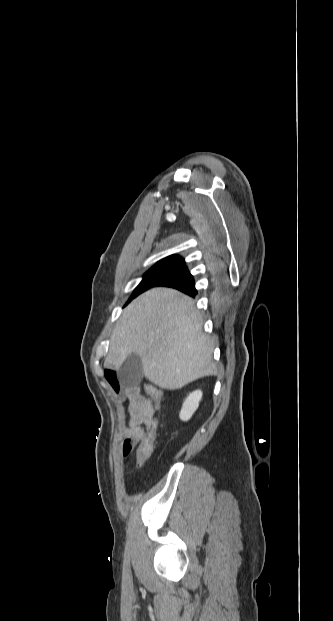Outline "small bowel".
<instances>
[{
    "instance_id": "small-bowel-1",
    "label": "small bowel",
    "mask_w": 333,
    "mask_h": 621,
    "mask_svg": "<svg viewBox=\"0 0 333 621\" xmlns=\"http://www.w3.org/2000/svg\"><path fill=\"white\" fill-rule=\"evenodd\" d=\"M104 376L113 393L121 401H128V420L124 428L125 439L122 445V454L126 457L137 445L145 427L155 418L156 406L150 396L149 386L145 388L146 394L136 385L124 387L112 368H106Z\"/></svg>"
}]
</instances>
